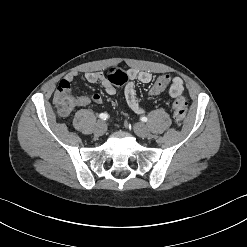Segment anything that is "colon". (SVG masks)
<instances>
[{
  "mask_svg": "<svg viewBox=\"0 0 247 247\" xmlns=\"http://www.w3.org/2000/svg\"><path fill=\"white\" fill-rule=\"evenodd\" d=\"M107 79L114 85L123 86L127 84L129 76L128 73L121 68H111L106 74ZM169 76H160L153 87L151 88V95H157L161 93L169 83ZM54 103L57 109L61 113L68 112L74 103V97L71 94L70 87L68 85L59 84L58 89L54 96ZM173 116L178 126H181L187 112V103L182 95L175 98L172 104Z\"/></svg>",
  "mask_w": 247,
  "mask_h": 247,
  "instance_id": "5ec220e1",
  "label": "colon"
}]
</instances>
